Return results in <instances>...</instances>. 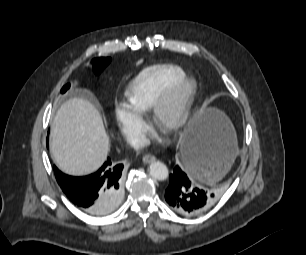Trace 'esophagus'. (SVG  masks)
<instances>
[{"instance_id":"34e87169","label":"esophagus","mask_w":306,"mask_h":255,"mask_svg":"<svg viewBox=\"0 0 306 255\" xmlns=\"http://www.w3.org/2000/svg\"><path fill=\"white\" fill-rule=\"evenodd\" d=\"M156 160V157L153 156V155H150V154H146L143 156L142 158V161L145 163V164H149V163H152Z\"/></svg>"}]
</instances>
